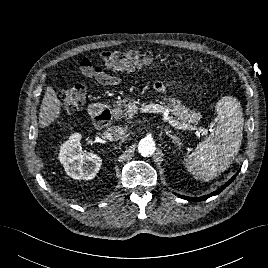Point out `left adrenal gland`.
Masks as SVG:
<instances>
[{"mask_svg":"<svg viewBox=\"0 0 268 268\" xmlns=\"http://www.w3.org/2000/svg\"><path fill=\"white\" fill-rule=\"evenodd\" d=\"M166 135L173 140L174 143H177L178 145H180V139L174 134H172V132L170 130L164 129Z\"/></svg>","mask_w":268,"mask_h":268,"instance_id":"left-adrenal-gland-1","label":"left adrenal gland"}]
</instances>
